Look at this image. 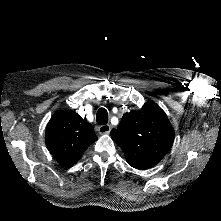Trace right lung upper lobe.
I'll use <instances>...</instances> for the list:
<instances>
[{"label":"right lung upper lobe","mask_w":221,"mask_h":221,"mask_svg":"<svg viewBox=\"0 0 221 221\" xmlns=\"http://www.w3.org/2000/svg\"><path fill=\"white\" fill-rule=\"evenodd\" d=\"M97 137L93 126L75 112H57L50 119L45 135L46 145L57 162L73 166Z\"/></svg>","instance_id":"obj_1"}]
</instances>
